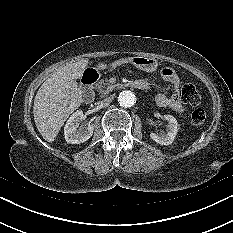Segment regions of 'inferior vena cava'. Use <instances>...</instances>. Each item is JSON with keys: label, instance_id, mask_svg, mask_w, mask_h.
I'll list each match as a JSON object with an SVG mask.
<instances>
[{"label": "inferior vena cava", "instance_id": "inferior-vena-cava-1", "mask_svg": "<svg viewBox=\"0 0 233 233\" xmlns=\"http://www.w3.org/2000/svg\"><path fill=\"white\" fill-rule=\"evenodd\" d=\"M112 102V97H106L103 100L99 101V104L102 106H108Z\"/></svg>", "mask_w": 233, "mask_h": 233}]
</instances>
